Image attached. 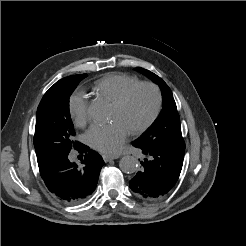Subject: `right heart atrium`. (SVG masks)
Instances as JSON below:
<instances>
[{
    "instance_id": "right-heart-atrium-1",
    "label": "right heart atrium",
    "mask_w": 246,
    "mask_h": 246,
    "mask_svg": "<svg viewBox=\"0 0 246 246\" xmlns=\"http://www.w3.org/2000/svg\"><path fill=\"white\" fill-rule=\"evenodd\" d=\"M70 116L77 126H83L88 120V99L83 91H76L69 98Z\"/></svg>"
}]
</instances>
